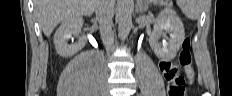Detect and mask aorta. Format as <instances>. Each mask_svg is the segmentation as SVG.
Here are the masks:
<instances>
[{
  "mask_svg": "<svg viewBox=\"0 0 232 96\" xmlns=\"http://www.w3.org/2000/svg\"><path fill=\"white\" fill-rule=\"evenodd\" d=\"M132 12L133 5L130 0H121L118 21H119V36L121 38H126L132 27Z\"/></svg>",
  "mask_w": 232,
  "mask_h": 96,
  "instance_id": "762f6f07",
  "label": "aorta"
}]
</instances>
